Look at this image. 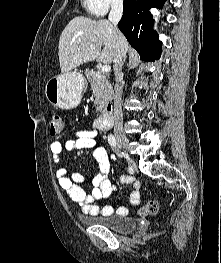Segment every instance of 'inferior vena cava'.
<instances>
[{"label": "inferior vena cava", "mask_w": 221, "mask_h": 263, "mask_svg": "<svg viewBox=\"0 0 221 263\" xmlns=\"http://www.w3.org/2000/svg\"><path fill=\"white\" fill-rule=\"evenodd\" d=\"M123 13V0H112L111 11L108 19L113 24L117 31V41L115 45V55L113 59L114 72L116 77L115 93H114V134L116 138H124L123 132V113L121 107L122 88L118 84L122 79L121 64H122V50L124 47V38L117 29V24L120 21Z\"/></svg>", "instance_id": "1"}]
</instances>
